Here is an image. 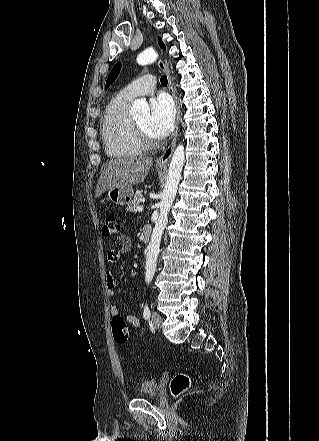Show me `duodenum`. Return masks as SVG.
I'll use <instances>...</instances> for the list:
<instances>
[{"label": "duodenum", "instance_id": "1", "mask_svg": "<svg viewBox=\"0 0 319 441\" xmlns=\"http://www.w3.org/2000/svg\"><path fill=\"white\" fill-rule=\"evenodd\" d=\"M152 229L149 225H145L142 230V240L144 242H148L151 237Z\"/></svg>", "mask_w": 319, "mask_h": 441}]
</instances>
